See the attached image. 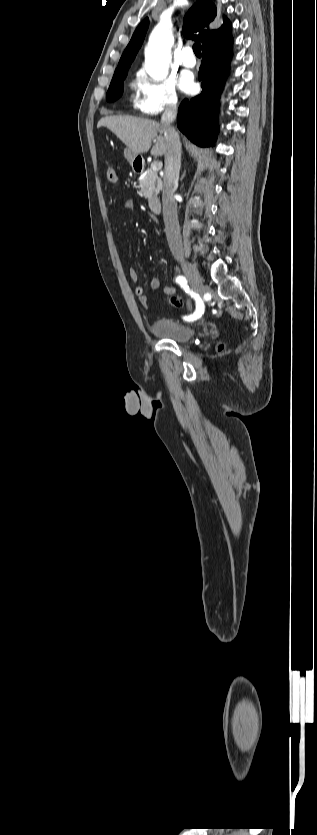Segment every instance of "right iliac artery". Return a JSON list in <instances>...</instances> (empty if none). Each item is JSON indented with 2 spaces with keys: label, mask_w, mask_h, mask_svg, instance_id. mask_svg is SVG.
<instances>
[{
  "label": "right iliac artery",
  "mask_w": 317,
  "mask_h": 835,
  "mask_svg": "<svg viewBox=\"0 0 317 835\" xmlns=\"http://www.w3.org/2000/svg\"><path fill=\"white\" fill-rule=\"evenodd\" d=\"M176 282H177V283H178V284H179V285H180V286L184 289V291H185L186 293H188L189 295H191V297H192V298L195 300V302H196V311H195V313H194L193 315H191V316L189 317V320H196V319L200 318V317L202 316V314L204 313V303H203L202 299L200 298V296H199L198 294H196L195 292H193V291L189 288V286L187 285V280H186V278H185V277H183V276H178V277L176 278Z\"/></svg>",
  "instance_id": "right-iliac-artery-1"
}]
</instances>
